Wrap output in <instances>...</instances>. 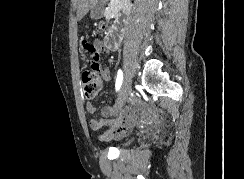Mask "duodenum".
Segmentation results:
<instances>
[{
  "instance_id": "obj_1",
  "label": "duodenum",
  "mask_w": 244,
  "mask_h": 179,
  "mask_svg": "<svg viewBox=\"0 0 244 179\" xmlns=\"http://www.w3.org/2000/svg\"><path fill=\"white\" fill-rule=\"evenodd\" d=\"M104 1V0H103ZM132 2L128 0H118L114 3L113 17L115 19V25L117 26L111 33L106 34L104 42L110 47H118L122 40V34L126 29L125 20L131 12ZM123 19V22L119 25L118 21Z\"/></svg>"
}]
</instances>
